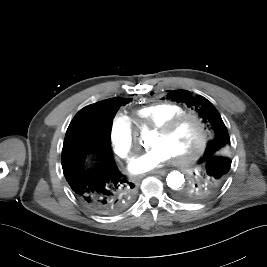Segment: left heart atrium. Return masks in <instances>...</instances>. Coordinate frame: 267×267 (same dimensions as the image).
Returning a JSON list of instances; mask_svg holds the SVG:
<instances>
[{
	"label": "left heart atrium",
	"instance_id": "1",
	"mask_svg": "<svg viewBox=\"0 0 267 267\" xmlns=\"http://www.w3.org/2000/svg\"><path fill=\"white\" fill-rule=\"evenodd\" d=\"M170 158L171 154L168 150L161 145H156L133 158L129 164V170L135 174L149 172L167 162Z\"/></svg>",
	"mask_w": 267,
	"mask_h": 267
}]
</instances>
